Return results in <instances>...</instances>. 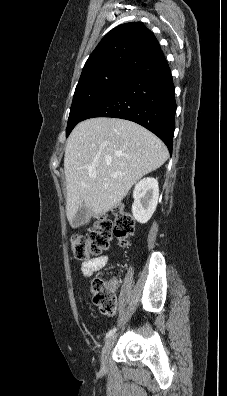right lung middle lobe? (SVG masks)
<instances>
[{
	"label": "right lung middle lobe",
	"mask_w": 227,
	"mask_h": 396,
	"mask_svg": "<svg viewBox=\"0 0 227 396\" xmlns=\"http://www.w3.org/2000/svg\"><path fill=\"white\" fill-rule=\"evenodd\" d=\"M132 70L109 68L87 75L79 80L68 119L66 137L83 120L85 114L116 88Z\"/></svg>",
	"instance_id": "obj_1"
}]
</instances>
